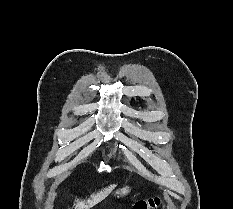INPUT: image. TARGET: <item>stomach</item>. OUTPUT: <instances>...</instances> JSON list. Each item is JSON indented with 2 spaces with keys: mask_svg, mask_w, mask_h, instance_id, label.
Segmentation results:
<instances>
[{
  "mask_svg": "<svg viewBox=\"0 0 233 209\" xmlns=\"http://www.w3.org/2000/svg\"><path fill=\"white\" fill-rule=\"evenodd\" d=\"M131 192V187L128 185H125L117 190H115L112 193V197L114 198H124L125 196H127L129 193Z\"/></svg>",
  "mask_w": 233,
  "mask_h": 209,
  "instance_id": "1",
  "label": "stomach"
}]
</instances>
